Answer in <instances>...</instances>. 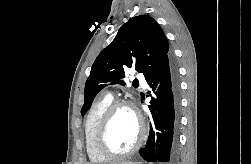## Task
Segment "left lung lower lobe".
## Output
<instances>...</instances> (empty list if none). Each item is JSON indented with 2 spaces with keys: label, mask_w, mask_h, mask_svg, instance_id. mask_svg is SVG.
Listing matches in <instances>:
<instances>
[{
  "label": "left lung lower lobe",
  "mask_w": 251,
  "mask_h": 164,
  "mask_svg": "<svg viewBox=\"0 0 251 164\" xmlns=\"http://www.w3.org/2000/svg\"><path fill=\"white\" fill-rule=\"evenodd\" d=\"M152 92L150 105V130L146 145L139 154L147 162L173 164L176 159L180 85L178 72L169 55L147 77ZM152 93V94H151Z\"/></svg>",
  "instance_id": "1"
}]
</instances>
